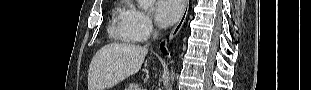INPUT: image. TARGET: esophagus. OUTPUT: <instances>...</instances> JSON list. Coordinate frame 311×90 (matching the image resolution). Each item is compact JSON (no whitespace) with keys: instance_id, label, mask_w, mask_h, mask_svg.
<instances>
[{"instance_id":"1","label":"esophagus","mask_w":311,"mask_h":90,"mask_svg":"<svg viewBox=\"0 0 311 90\" xmlns=\"http://www.w3.org/2000/svg\"><path fill=\"white\" fill-rule=\"evenodd\" d=\"M188 10H189V0H184L183 11H182L180 18H179L178 22L176 23L175 27L173 28V30L169 34V40H172L174 37H176V35L181 30V28H182V26L186 20Z\"/></svg>"}]
</instances>
